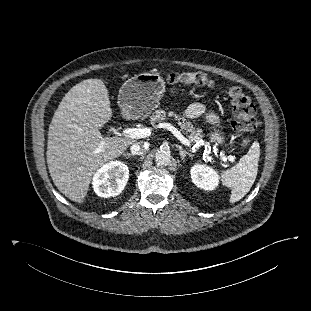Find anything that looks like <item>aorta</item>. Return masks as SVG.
Returning <instances> with one entry per match:
<instances>
[{
	"label": "aorta",
	"instance_id": "obj_1",
	"mask_svg": "<svg viewBox=\"0 0 311 311\" xmlns=\"http://www.w3.org/2000/svg\"><path fill=\"white\" fill-rule=\"evenodd\" d=\"M171 160V154L168 149L161 148L156 152L155 161L160 166L167 165Z\"/></svg>",
	"mask_w": 311,
	"mask_h": 311
}]
</instances>
